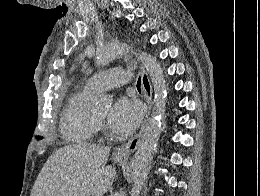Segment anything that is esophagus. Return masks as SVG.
<instances>
[{"label": "esophagus", "mask_w": 260, "mask_h": 196, "mask_svg": "<svg viewBox=\"0 0 260 196\" xmlns=\"http://www.w3.org/2000/svg\"><path fill=\"white\" fill-rule=\"evenodd\" d=\"M140 72H141V87L143 89L145 101L147 104L146 113L143 118V124H142L140 132L136 136H134V138L127 141V143H124L123 145L118 146V148H116L114 150V152H113L114 159L122 160V159L128 158L137 149L139 140L141 137V132L150 115V111L152 108V86L149 81L147 72L145 71V69L142 66H140Z\"/></svg>", "instance_id": "esophagus-1"}]
</instances>
